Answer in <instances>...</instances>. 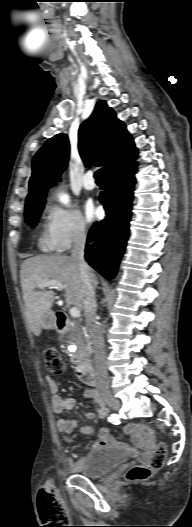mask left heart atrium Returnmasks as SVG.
<instances>
[{
  "mask_svg": "<svg viewBox=\"0 0 192 527\" xmlns=\"http://www.w3.org/2000/svg\"><path fill=\"white\" fill-rule=\"evenodd\" d=\"M83 213L87 221H92L98 216V209L92 201L88 200L83 205Z\"/></svg>",
  "mask_w": 192,
  "mask_h": 527,
  "instance_id": "left-heart-atrium-1",
  "label": "left heart atrium"
}]
</instances>
